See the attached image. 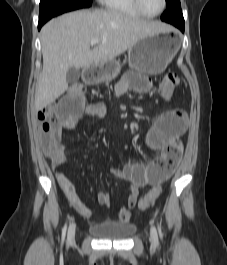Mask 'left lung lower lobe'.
<instances>
[{
  "instance_id": "obj_1",
  "label": "left lung lower lobe",
  "mask_w": 227,
  "mask_h": 265,
  "mask_svg": "<svg viewBox=\"0 0 227 265\" xmlns=\"http://www.w3.org/2000/svg\"><path fill=\"white\" fill-rule=\"evenodd\" d=\"M171 24L178 27L182 32H184V22L173 21Z\"/></svg>"
}]
</instances>
